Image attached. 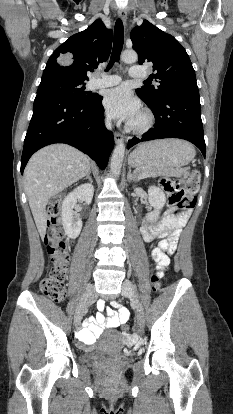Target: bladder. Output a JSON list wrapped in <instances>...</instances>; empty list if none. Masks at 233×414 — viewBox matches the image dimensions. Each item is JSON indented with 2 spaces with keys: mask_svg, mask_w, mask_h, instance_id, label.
<instances>
[{
  "mask_svg": "<svg viewBox=\"0 0 233 414\" xmlns=\"http://www.w3.org/2000/svg\"><path fill=\"white\" fill-rule=\"evenodd\" d=\"M113 334L117 335V332H113ZM118 353L117 346H106L100 349H97L93 352L86 353L82 355V360L87 363L96 362L102 360L106 357L113 356Z\"/></svg>",
  "mask_w": 233,
  "mask_h": 414,
  "instance_id": "31cf9c89",
  "label": "bladder"
}]
</instances>
